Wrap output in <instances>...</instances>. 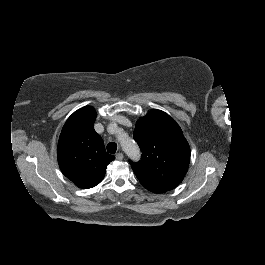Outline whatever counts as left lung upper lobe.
I'll return each instance as SVG.
<instances>
[{
    "label": "left lung upper lobe",
    "instance_id": "5c2ea615",
    "mask_svg": "<svg viewBox=\"0 0 265 265\" xmlns=\"http://www.w3.org/2000/svg\"><path fill=\"white\" fill-rule=\"evenodd\" d=\"M133 136L142 157L130 163L140 183L155 193L177 187L188 170L190 148L175 120L161 110H151L137 121Z\"/></svg>",
    "mask_w": 265,
    "mask_h": 265
}]
</instances>
